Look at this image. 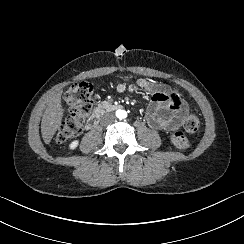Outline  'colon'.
I'll use <instances>...</instances> for the list:
<instances>
[{
    "mask_svg": "<svg viewBox=\"0 0 244 244\" xmlns=\"http://www.w3.org/2000/svg\"><path fill=\"white\" fill-rule=\"evenodd\" d=\"M164 100V97L161 98ZM64 102L70 107L65 112L63 121L55 135V142L65 143L80 131L85 118L94 105L93 86L86 81L74 82L64 94ZM200 123L196 116L190 114L180 129L171 134V141L178 149L186 150L191 147L190 136L199 129Z\"/></svg>",
    "mask_w": 244,
    "mask_h": 244,
    "instance_id": "colon-1",
    "label": "colon"
}]
</instances>
